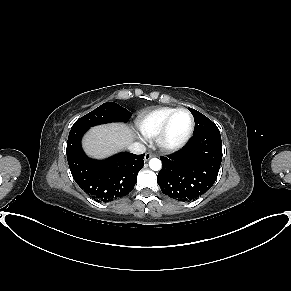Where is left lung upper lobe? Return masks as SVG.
<instances>
[{
	"label": "left lung upper lobe",
	"mask_w": 291,
	"mask_h": 291,
	"mask_svg": "<svg viewBox=\"0 0 291 291\" xmlns=\"http://www.w3.org/2000/svg\"><path fill=\"white\" fill-rule=\"evenodd\" d=\"M188 109L194 116V121H195V128H194L193 136L198 135L202 132H205L206 130L217 128V126L209 118H207L200 112L192 108H188Z\"/></svg>",
	"instance_id": "1"
}]
</instances>
